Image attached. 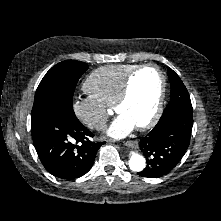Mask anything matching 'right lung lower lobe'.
I'll return each instance as SVG.
<instances>
[{
    "mask_svg": "<svg viewBox=\"0 0 221 221\" xmlns=\"http://www.w3.org/2000/svg\"><path fill=\"white\" fill-rule=\"evenodd\" d=\"M32 138L37 154L52 175L73 180L92 167L96 153L105 142H92L94 135L74 114L52 108L32 120Z\"/></svg>",
    "mask_w": 221,
    "mask_h": 221,
    "instance_id": "98d812e1",
    "label": "right lung lower lobe"
}]
</instances>
